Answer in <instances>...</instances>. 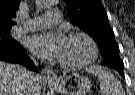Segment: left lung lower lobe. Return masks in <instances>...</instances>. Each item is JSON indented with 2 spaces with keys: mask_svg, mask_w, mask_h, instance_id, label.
Here are the masks:
<instances>
[{
  "mask_svg": "<svg viewBox=\"0 0 135 95\" xmlns=\"http://www.w3.org/2000/svg\"><path fill=\"white\" fill-rule=\"evenodd\" d=\"M102 64L114 67L119 72V74L124 77V74H123L124 65L123 64L121 65V63L119 64V62H108V61H104V60H103Z\"/></svg>",
  "mask_w": 135,
  "mask_h": 95,
  "instance_id": "obj_1",
  "label": "left lung lower lobe"
}]
</instances>
